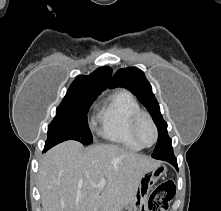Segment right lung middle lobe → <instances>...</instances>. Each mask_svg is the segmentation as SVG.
I'll return each instance as SVG.
<instances>
[{"instance_id":"right-lung-middle-lobe-1","label":"right lung middle lobe","mask_w":221,"mask_h":211,"mask_svg":"<svg viewBox=\"0 0 221 211\" xmlns=\"http://www.w3.org/2000/svg\"><path fill=\"white\" fill-rule=\"evenodd\" d=\"M97 96H80L63 100L56 109V116L48 126L45 146H52L66 140H76L82 144L93 142L87 123V112Z\"/></svg>"}]
</instances>
